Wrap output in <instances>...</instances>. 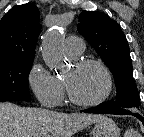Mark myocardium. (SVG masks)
I'll use <instances>...</instances> for the list:
<instances>
[{"label":"myocardium","mask_w":144,"mask_h":137,"mask_svg":"<svg viewBox=\"0 0 144 137\" xmlns=\"http://www.w3.org/2000/svg\"><path fill=\"white\" fill-rule=\"evenodd\" d=\"M74 66L76 68H82L85 66H95V67L99 68L105 76L106 88H105L104 93L99 98L92 100V101H81L74 97V95L70 91V88H69L67 82L64 80V86H65L67 97H68L69 101L72 104H74L76 106H80V107H95V106H98V105L102 104L103 102H105L109 98V96L112 92V89H113V78H112V74H111L110 70L108 69V67L102 61L96 60V59H81V60L76 61L74 63Z\"/></svg>","instance_id":"1"}]
</instances>
